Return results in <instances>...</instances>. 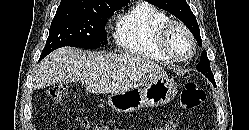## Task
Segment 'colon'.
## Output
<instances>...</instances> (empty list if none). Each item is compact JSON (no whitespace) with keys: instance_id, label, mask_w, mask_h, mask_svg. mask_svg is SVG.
I'll return each instance as SVG.
<instances>
[{"instance_id":"colon-1","label":"colon","mask_w":249,"mask_h":130,"mask_svg":"<svg viewBox=\"0 0 249 130\" xmlns=\"http://www.w3.org/2000/svg\"><path fill=\"white\" fill-rule=\"evenodd\" d=\"M47 97L57 105H65L69 101L68 87L66 85H56L48 89ZM206 97L205 91L195 82L185 84L180 95V104L184 109H196L204 102ZM81 127L84 130H113L108 125L92 123L87 120L81 121ZM176 122L174 120L167 122L161 127L154 130H175ZM125 130V129H116Z\"/></svg>"}]
</instances>
